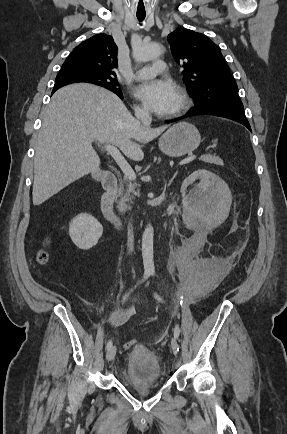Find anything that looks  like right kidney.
<instances>
[{"label": "right kidney", "mask_w": 287, "mask_h": 434, "mask_svg": "<svg viewBox=\"0 0 287 434\" xmlns=\"http://www.w3.org/2000/svg\"><path fill=\"white\" fill-rule=\"evenodd\" d=\"M102 233L103 227L100 222L88 214L76 216L69 226L71 240L82 250H89L95 246Z\"/></svg>", "instance_id": "right-kidney-1"}]
</instances>
